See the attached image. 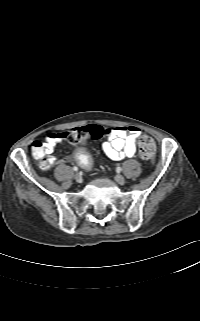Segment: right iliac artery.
<instances>
[{"label": "right iliac artery", "mask_w": 200, "mask_h": 321, "mask_svg": "<svg viewBox=\"0 0 200 321\" xmlns=\"http://www.w3.org/2000/svg\"><path fill=\"white\" fill-rule=\"evenodd\" d=\"M74 171H78V168L76 166L73 167Z\"/></svg>", "instance_id": "82829eb1"}]
</instances>
